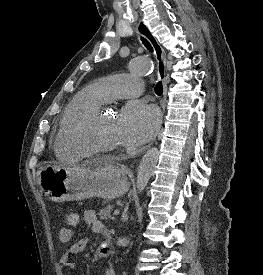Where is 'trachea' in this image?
<instances>
[{"instance_id": "3493384b", "label": "trachea", "mask_w": 263, "mask_h": 275, "mask_svg": "<svg viewBox=\"0 0 263 275\" xmlns=\"http://www.w3.org/2000/svg\"><path fill=\"white\" fill-rule=\"evenodd\" d=\"M141 41L144 44V46L151 52H153V48L151 46V44L149 43V41L147 39H145L144 37H141ZM155 93L160 96L163 93V86H162V82L159 81L156 86H155Z\"/></svg>"}]
</instances>
